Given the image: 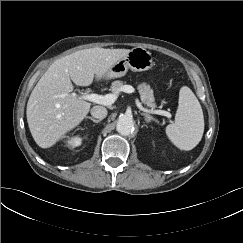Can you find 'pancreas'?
<instances>
[{"label":"pancreas","mask_w":243,"mask_h":243,"mask_svg":"<svg viewBox=\"0 0 243 243\" xmlns=\"http://www.w3.org/2000/svg\"><path fill=\"white\" fill-rule=\"evenodd\" d=\"M123 86V81L116 80L111 85V90L113 92H120V88ZM137 89L139 90L142 102L149 108L154 109L156 107L155 99L153 95V90L150 85L145 82L137 85Z\"/></svg>","instance_id":"obj_1"}]
</instances>
